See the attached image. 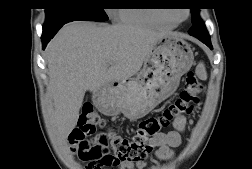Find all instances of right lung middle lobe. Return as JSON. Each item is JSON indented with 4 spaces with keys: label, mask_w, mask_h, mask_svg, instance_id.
I'll return each mask as SVG.
<instances>
[{
    "label": "right lung middle lobe",
    "mask_w": 252,
    "mask_h": 169,
    "mask_svg": "<svg viewBox=\"0 0 252 169\" xmlns=\"http://www.w3.org/2000/svg\"><path fill=\"white\" fill-rule=\"evenodd\" d=\"M104 0H47L43 30L62 26L74 20L107 21Z\"/></svg>",
    "instance_id": "obj_1"
}]
</instances>
